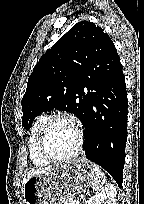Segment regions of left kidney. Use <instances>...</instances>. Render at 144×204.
Returning <instances> with one entry per match:
<instances>
[{"label": "left kidney", "instance_id": "5707ae66", "mask_svg": "<svg viewBox=\"0 0 144 204\" xmlns=\"http://www.w3.org/2000/svg\"><path fill=\"white\" fill-rule=\"evenodd\" d=\"M117 191L114 185L107 184L102 187L93 197H91L86 204H117Z\"/></svg>", "mask_w": 144, "mask_h": 204}]
</instances>
